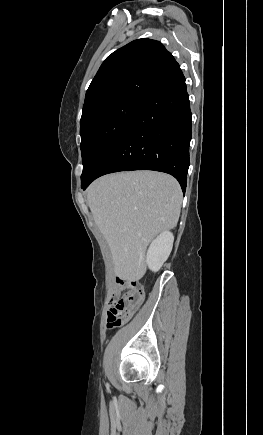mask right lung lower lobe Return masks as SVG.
Wrapping results in <instances>:
<instances>
[{"label":"right lung lower lobe","mask_w":263,"mask_h":435,"mask_svg":"<svg viewBox=\"0 0 263 435\" xmlns=\"http://www.w3.org/2000/svg\"><path fill=\"white\" fill-rule=\"evenodd\" d=\"M191 136L190 102L181 71L143 103L81 187L112 172L154 170L174 176L185 192Z\"/></svg>","instance_id":"1"}]
</instances>
